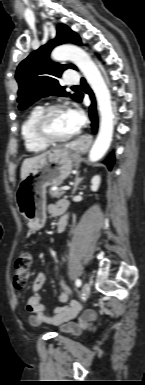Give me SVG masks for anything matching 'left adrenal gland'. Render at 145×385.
Instances as JSON below:
<instances>
[{
  "instance_id": "1",
  "label": "left adrenal gland",
  "mask_w": 145,
  "mask_h": 385,
  "mask_svg": "<svg viewBox=\"0 0 145 385\" xmlns=\"http://www.w3.org/2000/svg\"><path fill=\"white\" fill-rule=\"evenodd\" d=\"M82 180H83V177H79V173H78L76 175V177H75V182H74V185H73L72 195L75 194L76 190L78 189V185L81 183Z\"/></svg>"
}]
</instances>
